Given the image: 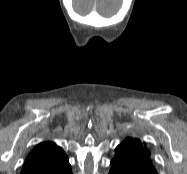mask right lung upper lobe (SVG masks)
I'll use <instances>...</instances> for the list:
<instances>
[{"mask_svg":"<svg viewBox=\"0 0 187 174\" xmlns=\"http://www.w3.org/2000/svg\"><path fill=\"white\" fill-rule=\"evenodd\" d=\"M69 170L64 152L55 143L43 142L27 156L21 174H64Z\"/></svg>","mask_w":187,"mask_h":174,"instance_id":"1","label":"right lung upper lobe"}]
</instances>
